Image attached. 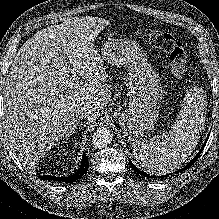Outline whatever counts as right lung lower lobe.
Listing matches in <instances>:
<instances>
[{
    "label": "right lung lower lobe",
    "mask_w": 219,
    "mask_h": 219,
    "mask_svg": "<svg viewBox=\"0 0 219 219\" xmlns=\"http://www.w3.org/2000/svg\"><path fill=\"white\" fill-rule=\"evenodd\" d=\"M88 157L83 154V159L80 168L75 172L74 174L67 176V177H56V176H51V175H44V176H39V178L43 180H48V181H60L64 183H73L77 181L79 178H81L88 170Z\"/></svg>",
    "instance_id": "right-lung-lower-lobe-1"
}]
</instances>
